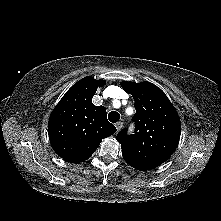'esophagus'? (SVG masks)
<instances>
[{
  "label": "esophagus",
  "mask_w": 221,
  "mask_h": 221,
  "mask_svg": "<svg viewBox=\"0 0 221 221\" xmlns=\"http://www.w3.org/2000/svg\"><path fill=\"white\" fill-rule=\"evenodd\" d=\"M122 127H123V122H118V123H116V129H117V131L121 130Z\"/></svg>",
  "instance_id": "1"
}]
</instances>
